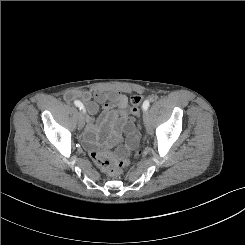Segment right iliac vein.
Returning <instances> with one entry per match:
<instances>
[{"label":"right iliac vein","instance_id":"63e3f726","mask_svg":"<svg viewBox=\"0 0 245 245\" xmlns=\"http://www.w3.org/2000/svg\"><path fill=\"white\" fill-rule=\"evenodd\" d=\"M85 125V115L84 112L79 113V119H78V128L83 129Z\"/></svg>","mask_w":245,"mask_h":245}]
</instances>
